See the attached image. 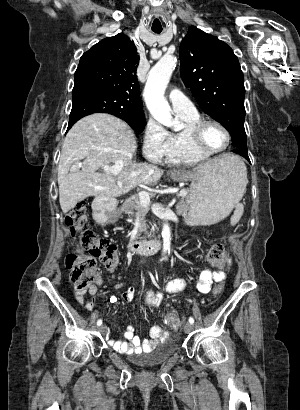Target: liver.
<instances>
[{"label": "liver", "instance_id": "liver-1", "mask_svg": "<svg viewBox=\"0 0 300 410\" xmlns=\"http://www.w3.org/2000/svg\"><path fill=\"white\" fill-rule=\"evenodd\" d=\"M137 143L130 127L108 114L86 116L73 125L62 146L58 166L59 202L64 214L89 196L118 197L137 185H155L163 170L147 164H132ZM231 154H223L198 168L230 162ZM84 160L82 169L70 171L74 163ZM122 162V169L113 173L110 163ZM103 167L104 173H96Z\"/></svg>", "mask_w": 300, "mask_h": 410}]
</instances>
